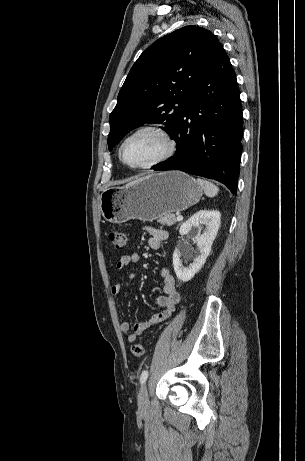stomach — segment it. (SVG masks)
<instances>
[{
	"label": "stomach",
	"instance_id": "obj_1",
	"mask_svg": "<svg viewBox=\"0 0 305 461\" xmlns=\"http://www.w3.org/2000/svg\"><path fill=\"white\" fill-rule=\"evenodd\" d=\"M202 187L188 174L165 171L140 178L132 185L110 188L100 195V211L111 223L130 219L153 221L199 202Z\"/></svg>",
	"mask_w": 305,
	"mask_h": 461
}]
</instances>
